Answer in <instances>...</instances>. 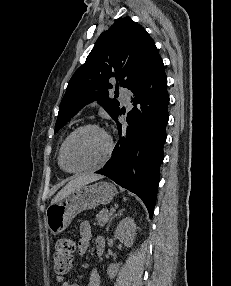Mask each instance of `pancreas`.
Returning <instances> with one entry per match:
<instances>
[{
	"label": "pancreas",
	"mask_w": 231,
	"mask_h": 286,
	"mask_svg": "<svg viewBox=\"0 0 231 286\" xmlns=\"http://www.w3.org/2000/svg\"><path fill=\"white\" fill-rule=\"evenodd\" d=\"M112 212H109L107 209H102L96 216V221L99 226H103L105 223L110 221Z\"/></svg>",
	"instance_id": "1"
}]
</instances>
